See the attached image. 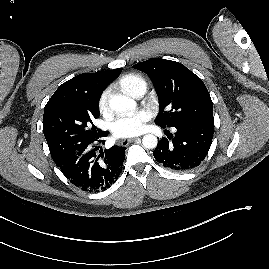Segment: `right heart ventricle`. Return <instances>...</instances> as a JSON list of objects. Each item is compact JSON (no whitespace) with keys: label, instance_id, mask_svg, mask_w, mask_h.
Instances as JSON below:
<instances>
[{"label":"right heart ventricle","instance_id":"obj_1","mask_svg":"<svg viewBox=\"0 0 269 269\" xmlns=\"http://www.w3.org/2000/svg\"><path fill=\"white\" fill-rule=\"evenodd\" d=\"M118 86L124 93L134 97L135 93L140 88L146 89L147 84L145 79L141 75L136 73H128L123 75L118 80Z\"/></svg>","mask_w":269,"mask_h":269}]
</instances>
